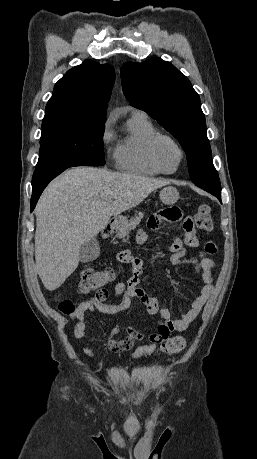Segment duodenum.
I'll return each instance as SVG.
<instances>
[{
    "label": "duodenum",
    "mask_w": 257,
    "mask_h": 459,
    "mask_svg": "<svg viewBox=\"0 0 257 459\" xmlns=\"http://www.w3.org/2000/svg\"><path fill=\"white\" fill-rule=\"evenodd\" d=\"M117 222L112 221L109 225H107L103 230H102V237L108 238L114 231L116 227Z\"/></svg>",
    "instance_id": "duodenum-1"
}]
</instances>
